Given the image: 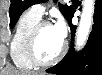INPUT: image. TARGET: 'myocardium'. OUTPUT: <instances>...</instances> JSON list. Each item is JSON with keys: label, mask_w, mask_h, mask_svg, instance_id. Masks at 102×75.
I'll return each mask as SVG.
<instances>
[{"label": "myocardium", "mask_w": 102, "mask_h": 75, "mask_svg": "<svg viewBox=\"0 0 102 75\" xmlns=\"http://www.w3.org/2000/svg\"><path fill=\"white\" fill-rule=\"evenodd\" d=\"M46 26H53V23L50 20H39L33 29L31 30L27 41H26V51L29 59L35 66H40V67H46L50 66L56 62H58L63 55L65 54L67 50V44L65 41H63V45L59 53L52 59L50 60H43L37 52V40L38 37L43 30L44 27Z\"/></svg>", "instance_id": "myocardium-1"}]
</instances>
